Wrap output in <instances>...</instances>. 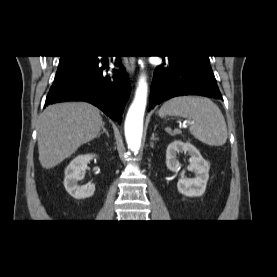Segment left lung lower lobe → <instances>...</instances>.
Masks as SVG:
<instances>
[{
    "instance_id": "obj_1",
    "label": "left lung lower lobe",
    "mask_w": 277,
    "mask_h": 277,
    "mask_svg": "<svg viewBox=\"0 0 277 277\" xmlns=\"http://www.w3.org/2000/svg\"><path fill=\"white\" fill-rule=\"evenodd\" d=\"M164 63L154 70L150 108L175 96L201 95L222 99L208 56H162Z\"/></svg>"
}]
</instances>
